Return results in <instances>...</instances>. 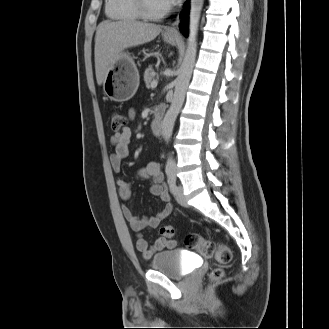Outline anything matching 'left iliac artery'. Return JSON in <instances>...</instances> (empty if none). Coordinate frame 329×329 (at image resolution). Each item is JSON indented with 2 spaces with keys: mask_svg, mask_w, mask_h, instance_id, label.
Here are the masks:
<instances>
[{
  "mask_svg": "<svg viewBox=\"0 0 329 329\" xmlns=\"http://www.w3.org/2000/svg\"><path fill=\"white\" fill-rule=\"evenodd\" d=\"M167 182L170 188V191L172 194H175L177 192V186H176V175L175 173L171 172L167 175Z\"/></svg>",
  "mask_w": 329,
  "mask_h": 329,
  "instance_id": "44dca946",
  "label": "left iliac artery"
}]
</instances>
